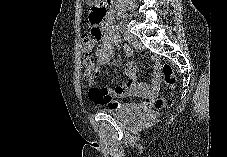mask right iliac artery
<instances>
[{
	"instance_id": "82829eb1",
	"label": "right iliac artery",
	"mask_w": 227,
	"mask_h": 157,
	"mask_svg": "<svg viewBox=\"0 0 227 157\" xmlns=\"http://www.w3.org/2000/svg\"><path fill=\"white\" fill-rule=\"evenodd\" d=\"M113 31H119L118 27H116ZM113 36L116 42H118L119 44L123 45V49L126 50L127 52L130 51V47H129V42L126 39V36H119L117 33L113 32Z\"/></svg>"
}]
</instances>
